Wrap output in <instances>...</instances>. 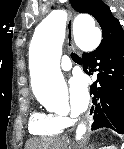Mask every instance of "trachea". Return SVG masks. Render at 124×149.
<instances>
[{"mask_svg":"<svg viewBox=\"0 0 124 149\" xmlns=\"http://www.w3.org/2000/svg\"><path fill=\"white\" fill-rule=\"evenodd\" d=\"M71 57H72V59H73L74 61L81 60L78 55L73 54V53L71 54Z\"/></svg>","mask_w":124,"mask_h":149,"instance_id":"obj_1","label":"trachea"}]
</instances>
